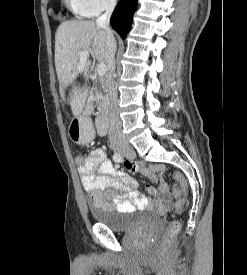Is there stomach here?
<instances>
[{
	"mask_svg": "<svg viewBox=\"0 0 247 275\" xmlns=\"http://www.w3.org/2000/svg\"><path fill=\"white\" fill-rule=\"evenodd\" d=\"M69 135L71 140L77 144H86L93 139L90 124H84L80 119L72 121L69 128Z\"/></svg>",
	"mask_w": 247,
	"mask_h": 275,
	"instance_id": "0dacf381",
	"label": "stomach"
}]
</instances>
